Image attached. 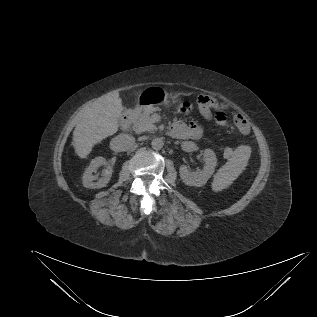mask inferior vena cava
I'll return each instance as SVG.
<instances>
[{"label":"inferior vena cava","instance_id":"obj_1","mask_svg":"<svg viewBox=\"0 0 317 317\" xmlns=\"http://www.w3.org/2000/svg\"><path fill=\"white\" fill-rule=\"evenodd\" d=\"M135 144V138L129 134H120L110 142V148L116 152L129 150Z\"/></svg>","mask_w":317,"mask_h":317}]
</instances>
